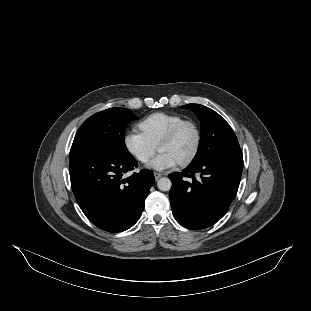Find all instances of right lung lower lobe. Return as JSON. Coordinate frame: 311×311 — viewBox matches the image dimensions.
I'll use <instances>...</instances> for the list:
<instances>
[{
	"mask_svg": "<svg viewBox=\"0 0 311 311\" xmlns=\"http://www.w3.org/2000/svg\"><path fill=\"white\" fill-rule=\"evenodd\" d=\"M137 165L131 154L121 155L105 148H87L70 155L74 196L98 228L122 232L140 218L155 178L152 171L143 169L123 179V174Z\"/></svg>",
	"mask_w": 311,
	"mask_h": 311,
	"instance_id": "1",
	"label": "right lung lower lobe"
}]
</instances>
